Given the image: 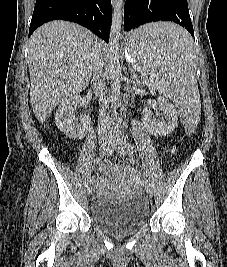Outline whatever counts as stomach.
I'll use <instances>...</instances> for the list:
<instances>
[{
    "label": "stomach",
    "instance_id": "stomach-1",
    "mask_svg": "<svg viewBox=\"0 0 227 267\" xmlns=\"http://www.w3.org/2000/svg\"><path fill=\"white\" fill-rule=\"evenodd\" d=\"M126 38H129V36H127ZM125 55H126V58L127 60L133 65V67L139 69V63H133V59L131 58V55H128V51H127V47L125 49Z\"/></svg>",
    "mask_w": 227,
    "mask_h": 267
}]
</instances>
